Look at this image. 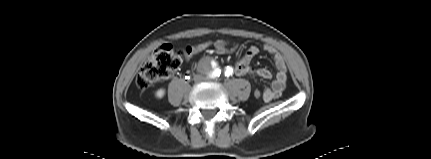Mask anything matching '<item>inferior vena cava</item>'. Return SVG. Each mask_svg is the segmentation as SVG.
<instances>
[{"label": "inferior vena cava", "mask_w": 431, "mask_h": 159, "mask_svg": "<svg viewBox=\"0 0 431 159\" xmlns=\"http://www.w3.org/2000/svg\"><path fill=\"white\" fill-rule=\"evenodd\" d=\"M203 80H204V77L202 75H200V74H197V75L194 76V81L195 82H201Z\"/></svg>", "instance_id": "602c4592"}]
</instances>
